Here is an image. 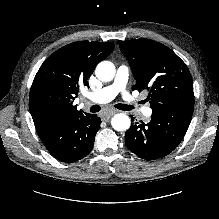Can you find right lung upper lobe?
I'll return each instance as SVG.
<instances>
[{
  "label": "right lung upper lobe",
  "mask_w": 219,
  "mask_h": 219,
  "mask_svg": "<svg viewBox=\"0 0 219 219\" xmlns=\"http://www.w3.org/2000/svg\"><path fill=\"white\" fill-rule=\"evenodd\" d=\"M111 42L81 41L66 45L49 56L38 70L31 86L29 108L34 124L79 113L73 101L79 84L96 65L111 54Z\"/></svg>",
  "instance_id": "right-lung-upper-lobe-1"
}]
</instances>
